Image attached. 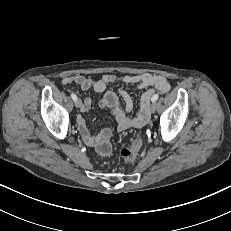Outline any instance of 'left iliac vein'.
<instances>
[{"instance_id":"left-iliac-vein-1","label":"left iliac vein","mask_w":231,"mask_h":231,"mask_svg":"<svg viewBox=\"0 0 231 231\" xmlns=\"http://www.w3.org/2000/svg\"><path fill=\"white\" fill-rule=\"evenodd\" d=\"M156 108H157V104L156 102H152L151 106H150V111L152 113H154L156 111Z\"/></svg>"}]
</instances>
